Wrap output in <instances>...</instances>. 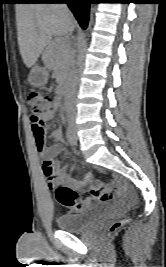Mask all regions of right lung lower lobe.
I'll use <instances>...</instances> for the list:
<instances>
[{
	"mask_svg": "<svg viewBox=\"0 0 166 267\" xmlns=\"http://www.w3.org/2000/svg\"><path fill=\"white\" fill-rule=\"evenodd\" d=\"M91 0H28L19 3H67L80 26L86 29L88 24L89 5Z\"/></svg>",
	"mask_w": 166,
	"mask_h": 267,
	"instance_id": "1",
	"label": "right lung lower lobe"
}]
</instances>
